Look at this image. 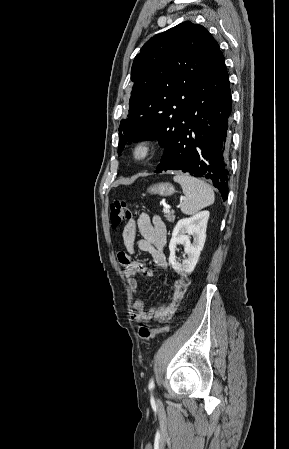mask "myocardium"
<instances>
[{
    "label": "myocardium",
    "instance_id": "1",
    "mask_svg": "<svg viewBox=\"0 0 289 449\" xmlns=\"http://www.w3.org/2000/svg\"><path fill=\"white\" fill-rule=\"evenodd\" d=\"M155 153V145L149 139H140L132 147V157L138 162L150 160Z\"/></svg>",
    "mask_w": 289,
    "mask_h": 449
}]
</instances>
